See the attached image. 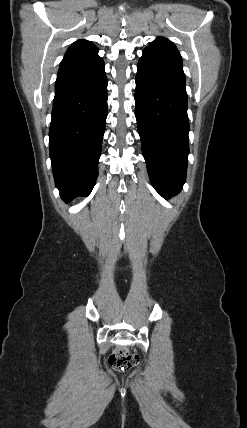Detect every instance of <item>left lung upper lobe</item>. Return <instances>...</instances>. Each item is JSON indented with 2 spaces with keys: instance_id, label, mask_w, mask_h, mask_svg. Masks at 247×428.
<instances>
[{
  "instance_id": "5c2ea615",
  "label": "left lung upper lobe",
  "mask_w": 247,
  "mask_h": 428,
  "mask_svg": "<svg viewBox=\"0 0 247 428\" xmlns=\"http://www.w3.org/2000/svg\"><path fill=\"white\" fill-rule=\"evenodd\" d=\"M147 48L155 49L160 52L172 54L181 58V55L178 52L176 46L170 40L163 37H158L149 46H147Z\"/></svg>"
}]
</instances>
